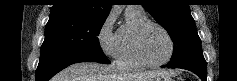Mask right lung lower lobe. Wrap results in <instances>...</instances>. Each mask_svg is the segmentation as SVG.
I'll list each match as a JSON object with an SVG mask.
<instances>
[{"instance_id": "98d812e1", "label": "right lung lower lobe", "mask_w": 237, "mask_h": 81, "mask_svg": "<svg viewBox=\"0 0 237 81\" xmlns=\"http://www.w3.org/2000/svg\"><path fill=\"white\" fill-rule=\"evenodd\" d=\"M79 62H99L110 64L103 55L78 53H43L36 70V81H48L67 66Z\"/></svg>"}]
</instances>
